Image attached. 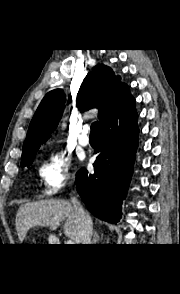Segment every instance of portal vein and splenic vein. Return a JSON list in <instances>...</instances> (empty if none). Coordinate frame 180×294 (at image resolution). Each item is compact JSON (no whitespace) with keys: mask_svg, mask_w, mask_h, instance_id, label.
Here are the masks:
<instances>
[{"mask_svg":"<svg viewBox=\"0 0 180 294\" xmlns=\"http://www.w3.org/2000/svg\"><path fill=\"white\" fill-rule=\"evenodd\" d=\"M66 244H70V245H72V244H74V242H73V240H68V241L66 242Z\"/></svg>","mask_w":180,"mask_h":294,"instance_id":"1","label":"portal vein and splenic vein"}]
</instances>
